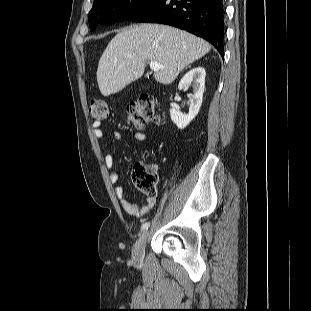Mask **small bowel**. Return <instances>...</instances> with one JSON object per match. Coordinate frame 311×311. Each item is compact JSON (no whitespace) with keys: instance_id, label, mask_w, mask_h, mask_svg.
Masks as SVG:
<instances>
[{"instance_id":"c3829d8e","label":"small bowel","mask_w":311,"mask_h":311,"mask_svg":"<svg viewBox=\"0 0 311 311\" xmlns=\"http://www.w3.org/2000/svg\"><path fill=\"white\" fill-rule=\"evenodd\" d=\"M93 134L97 139H102L104 137V133L101 129V123L98 121L93 122L92 124ZM115 140L119 141L122 139V133L119 131L114 132ZM132 138L136 142H144L147 138L146 134L143 132H134L132 134ZM104 165L109 170V180L112 183H117L119 179V174L116 169H114V159L111 154H106L104 157ZM115 194L120 201V204L124 211L136 218H141L145 216L155 205L156 199L155 197H148L144 204L139 205L137 203L130 202L125 196V189L122 185L115 186Z\"/></svg>"}]
</instances>
